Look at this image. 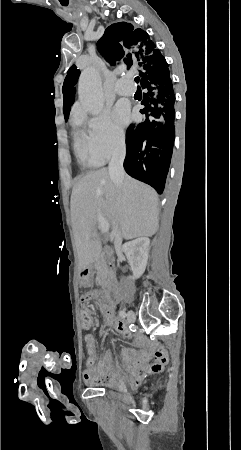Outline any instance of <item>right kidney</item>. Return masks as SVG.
Returning <instances> with one entry per match:
<instances>
[{"mask_svg": "<svg viewBox=\"0 0 241 450\" xmlns=\"http://www.w3.org/2000/svg\"><path fill=\"white\" fill-rule=\"evenodd\" d=\"M150 250L149 238H136L132 242H127L122 248L129 266L133 272L132 280H137L144 274L148 262Z\"/></svg>", "mask_w": 241, "mask_h": 450, "instance_id": "obj_1", "label": "right kidney"}]
</instances>
